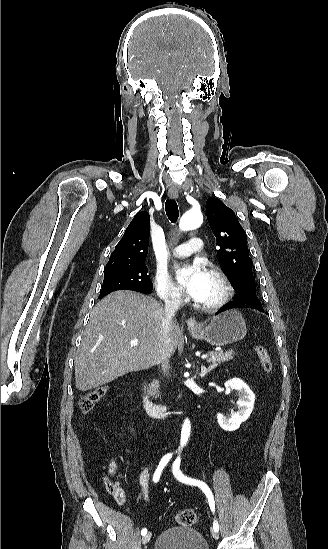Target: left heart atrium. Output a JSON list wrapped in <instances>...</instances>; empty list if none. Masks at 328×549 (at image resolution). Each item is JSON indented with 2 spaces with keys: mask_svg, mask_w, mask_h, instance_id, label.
<instances>
[{
  "mask_svg": "<svg viewBox=\"0 0 328 549\" xmlns=\"http://www.w3.org/2000/svg\"><path fill=\"white\" fill-rule=\"evenodd\" d=\"M208 273L199 266L184 269L177 278V288L186 298L198 301L205 290Z\"/></svg>",
  "mask_w": 328,
  "mask_h": 549,
  "instance_id": "left-heart-atrium-1",
  "label": "left heart atrium"
}]
</instances>
